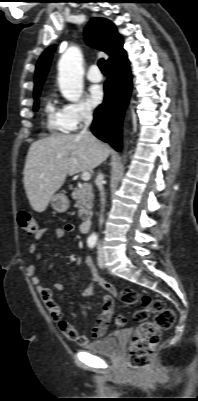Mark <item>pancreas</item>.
I'll use <instances>...</instances> for the list:
<instances>
[{
  "label": "pancreas",
  "instance_id": "pancreas-1",
  "mask_svg": "<svg viewBox=\"0 0 198 401\" xmlns=\"http://www.w3.org/2000/svg\"><path fill=\"white\" fill-rule=\"evenodd\" d=\"M71 196L79 207V217L85 220L88 215L92 214V202L94 199L92 185L88 183L80 184L77 188H74Z\"/></svg>",
  "mask_w": 198,
  "mask_h": 401
}]
</instances>
